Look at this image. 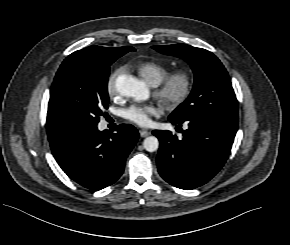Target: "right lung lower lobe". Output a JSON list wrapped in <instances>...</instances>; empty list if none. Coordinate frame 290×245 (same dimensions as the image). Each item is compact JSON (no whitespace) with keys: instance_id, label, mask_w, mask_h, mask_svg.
I'll return each mask as SVG.
<instances>
[{"instance_id":"right-lung-lower-lobe-1","label":"right lung lower lobe","mask_w":290,"mask_h":245,"mask_svg":"<svg viewBox=\"0 0 290 245\" xmlns=\"http://www.w3.org/2000/svg\"><path fill=\"white\" fill-rule=\"evenodd\" d=\"M139 134L130 124L116 132L99 131L97 125L71 129L50 140L52 153L62 170L90 190H101L122 175L126 158Z\"/></svg>"}]
</instances>
